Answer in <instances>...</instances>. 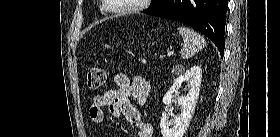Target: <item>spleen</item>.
I'll use <instances>...</instances> for the list:
<instances>
[{
  "mask_svg": "<svg viewBox=\"0 0 280 137\" xmlns=\"http://www.w3.org/2000/svg\"><path fill=\"white\" fill-rule=\"evenodd\" d=\"M179 33L183 37L184 46L181 49V57L188 59L206 46L205 39L188 27H179Z\"/></svg>",
  "mask_w": 280,
  "mask_h": 137,
  "instance_id": "spleen-1",
  "label": "spleen"
}]
</instances>
